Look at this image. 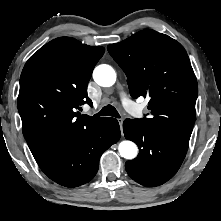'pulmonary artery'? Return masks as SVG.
I'll return each mask as SVG.
<instances>
[{
    "instance_id": "e3ab8cb5",
    "label": "pulmonary artery",
    "mask_w": 221,
    "mask_h": 221,
    "mask_svg": "<svg viewBox=\"0 0 221 221\" xmlns=\"http://www.w3.org/2000/svg\"><path fill=\"white\" fill-rule=\"evenodd\" d=\"M122 104L127 111L132 114L138 113V108L134 105V103L126 96V94H122Z\"/></svg>"
}]
</instances>
